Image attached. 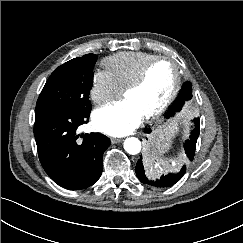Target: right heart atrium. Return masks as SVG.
Masks as SVG:
<instances>
[{"label": "right heart atrium", "instance_id": "right-heart-atrium-1", "mask_svg": "<svg viewBox=\"0 0 243 243\" xmlns=\"http://www.w3.org/2000/svg\"><path fill=\"white\" fill-rule=\"evenodd\" d=\"M122 90L106 69H98L93 73L89 94L94 104L102 105L109 102L120 96Z\"/></svg>", "mask_w": 243, "mask_h": 243}]
</instances>
